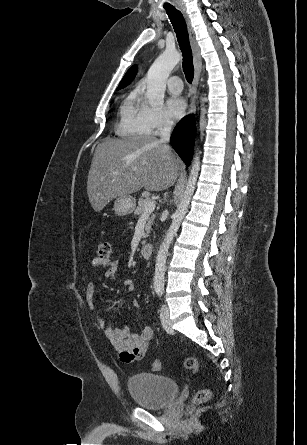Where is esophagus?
I'll return each instance as SVG.
<instances>
[{"mask_svg":"<svg viewBox=\"0 0 307 445\" xmlns=\"http://www.w3.org/2000/svg\"><path fill=\"white\" fill-rule=\"evenodd\" d=\"M177 7L179 8L180 12L182 13L186 26L187 31L189 34L190 44L192 48V53L194 57V79L191 87V97H190V105H189V111L188 113H194L196 110V98H197V90H198V83L200 79V73L202 69V57L200 55V49L198 46V42L196 40V35L193 30V27L191 25V22L189 20V17L187 15V12L185 10V7L182 3H177Z\"/></svg>","mask_w":307,"mask_h":445,"instance_id":"obj_1","label":"esophagus"}]
</instances>
